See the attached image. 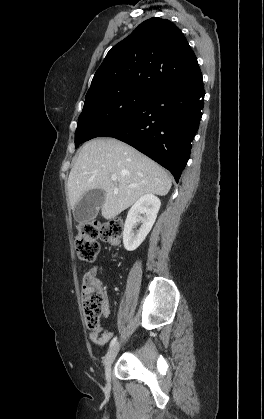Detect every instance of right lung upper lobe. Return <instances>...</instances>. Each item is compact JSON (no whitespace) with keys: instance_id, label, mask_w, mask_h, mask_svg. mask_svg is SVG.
<instances>
[{"instance_id":"right-lung-upper-lobe-1","label":"right lung upper lobe","mask_w":264,"mask_h":419,"mask_svg":"<svg viewBox=\"0 0 264 419\" xmlns=\"http://www.w3.org/2000/svg\"><path fill=\"white\" fill-rule=\"evenodd\" d=\"M201 78L196 56L181 30L167 19L151 18L108 52L87 94L124 87L155 92L192 85Z\"/></svg>"}]
</instances>
